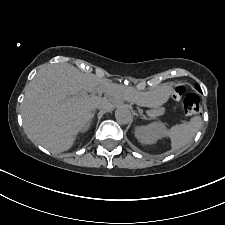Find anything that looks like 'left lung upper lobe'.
Instances as JSON below:
<instances>
[{
  "label": "left lung upper lobe",
  "instance_id": "1",
  "mask_svg": "<svg viewBox=\"0 0 225 225\" xmlns=\"http://www.w3.org/2000/svg\"><path fill=\"white\" fill-rule=\"evenodd\" d=\"M196 89L200 92L201 91V89H200V87L198 86V85H196Z\"/></svg>",
  "mask_w": 225,
  "mask_h": 225
}]
</instances>
